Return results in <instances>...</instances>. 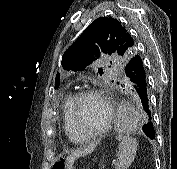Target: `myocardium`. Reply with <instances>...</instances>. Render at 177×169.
I'll use <instances>...</instances> for the list:
<instances>
[{"label":"myocardium","mask_w":177,"mask_h":169,"mask_svg":"<svg viewBox=\"0 0 177 169\" xmlns=\"http://www.w3.org/2000/svg\"><path fill=\"white\" fill-rule=\"evenodd\" d=\"M90 96L98 98L101 101V103L103 104V106L105 108V112H106L105 121H104L103 125L97 131H95L89 135L79 136L77 133L78 132V125H77L78 107L84 98L90 97ZM70 118H71L72 128L76 134V139H77V141L80 142V141L96 138V137L101 136L104 133H106L109 130L111 123H112L113 110H112V107L110 105V102H109L107 96L103 92H101L100 90H98L96 88L86 87V88L79 90L76 93V95L74 97V101L71 106Z\"/></svg>","instance_id":"obj_1"}]
</instances>
